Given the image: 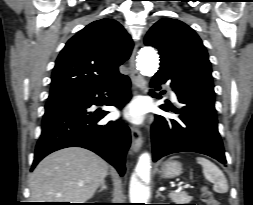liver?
Masks as SVG:
<instances>
[{
    "instance_id": "6515ba94",
    "label": "liver",
    "mask_w": 253,
    "mask_h": 205,
    "mask_svg": "<svg viewBox=\"0 0 253 205\" xmlns=\"http://www.w3.org/2000/svg\"><path fill=\"white\" fill-rule=\"evenodd\" d=\"M107 174V162L89 150H58L45 157L30 175V197L33 202L85 203Z\"/></svg>"
}]
</instances>
